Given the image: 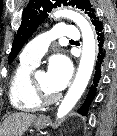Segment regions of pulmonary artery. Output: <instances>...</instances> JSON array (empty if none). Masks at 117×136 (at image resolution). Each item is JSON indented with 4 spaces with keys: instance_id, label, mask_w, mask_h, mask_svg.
<instances>
[{
    "instance_id": "1",
    "label": "pulmonary artery",
    "mask_w": 117,
    "mask_h": 136,
    "mask_svg": "<svg viewBox=\"0 0 117 136\" xmlns=\"http://www.w3.org/2000/svg\"><path fill=\"white\" fill-rule=\"evenodd\" d=\"M79 31L76 27L63 24L62 26L45 32L30 43H28L21 53V60L37 64L44 55L50 43L56 38L78 39Z\"/></svg>"
}]
</instances>
